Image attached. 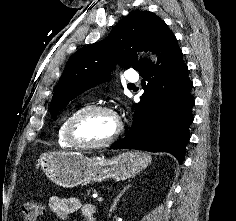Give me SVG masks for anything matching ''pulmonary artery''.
I'll use <instances>...</instances> for the list:
<instances>
[{"instance_id": "1", "label": "pulmonary artery", "mask_w": 236, "mask_h": 221, "mask_svg": "<svg viewBox=\"0 0 236 221\" xmlns=\"http://www.w3.org/2000/svg\"><path fill=\"white\" fill-rule=\"evenodd\" d=\"M125 77L129 82H132V83H134L138 80V76L134 75L132 73H127Z\"/></svg>"}]
</instances>
